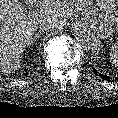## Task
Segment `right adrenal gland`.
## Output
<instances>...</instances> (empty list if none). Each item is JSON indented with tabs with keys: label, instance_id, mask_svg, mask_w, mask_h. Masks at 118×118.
I'll return each instance as SVG.
<instances>
[{
	"label": "right adrenal gland",
	"instance_id": "1",
	"mask_svg": "<svg viewBox=\"0 0 118 118\" xmlns=\"http://www.w3.org/2000/svg\"><path fill=\"white\" fill-rule=\"evenodd\" d=\"M41 35H42L41 32L36 33L35 36L32 38V42L35 43L36 40L41 37Z\"/></svg>",
	"mask_w": 118,
	"mask_h": 118
}]
</instances>
